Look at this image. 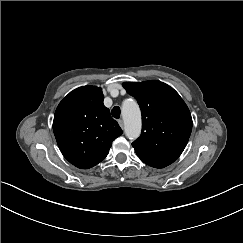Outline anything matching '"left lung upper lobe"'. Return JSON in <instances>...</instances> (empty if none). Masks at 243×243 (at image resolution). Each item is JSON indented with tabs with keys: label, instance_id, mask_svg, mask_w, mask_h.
<instances>
[{
	"label": "left lung upper lobe",
	"instance_id": "obj_1",
	"mask_svg": "<svg viewBox=\"0 0 243 243\" xmlns=\"http://www.w3.org/2000/svg\"><path fill=\"white\" fill-rule=\"evenodd\" d=\"M123 87L142 112V133L132 143L138 157L154 168L170 165L181 155L191 134L187 105L172 87L157 80L125 82Z\"/></svg>",
	"mask_w": 243,
	"mask_h": 243
}]
</instances>
